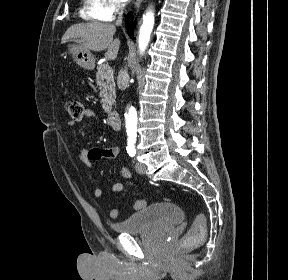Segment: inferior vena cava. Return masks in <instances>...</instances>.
Instances as JSON below:
<instances>
[{"label": "inferior vena cava", "mask_w": 288, "mask_h": 280, "mask_svg": "<svg viewBox=\"0 0 288 280\" xmlns=\"http://www.w3.org/2000/svg\"><path fill=\"white\" fill-rule=\"evenodd\" d=\"M119 9H120L119 16L115 22L117 26H120L122 24L123 5H119ZM128 81H129L128 73L123 69H121L118 73L117 78V84L119 86V90H126Z\"/></svg>", "instance_id": "1"}]
</instances>
